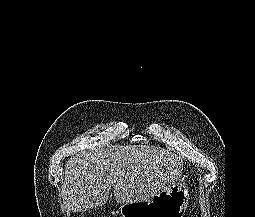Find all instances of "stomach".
<instances>
[{
	"mask_svg": "<svg viewBox=\"0 0 255 217\" xmlns=\"http://www.w3.org/2000/svg\"><path fill=\"white\" fill-rule=\"evenodd\" d=\"M189 201L185 183H175L151 199L125 203L120 207L121 217H183Z\"/></svg>",
	"mask_w": 255,
	"mask_h": 217,
	"instance_id": "obj_1",
	"label": "stomach"
}]
</instances>
